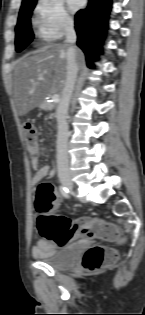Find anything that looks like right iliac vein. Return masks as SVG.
<instances>
[{"label":"right iliac vein","mask_w":145,"mask_h":315,"mask_svg":"<svg viewBox=\"0 0 145 315\" xmlns=\"http://www.w3.org/2000/svg\"><path fill=\"white\" fill-rule=\"evenodd\" d=\"M61 182H62V184H63L65 187H67V188H69V189L72 188V182H71L70 180H68V179H62Z\"/></svg>","instance_id":"63e3f726"}]
</instances>
